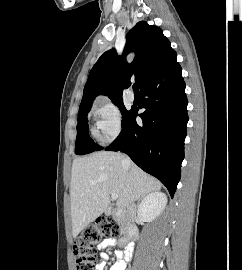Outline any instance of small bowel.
<instances>
[{
  "label": "small bowel",
  "mask_w": 242,
  "mask_h": 270,
  "mask_svg": "<svg viewBox=\"0 0 242 270\" xmlns=\"http://www.w3.org/2000/svg\"><path fill=\"white\" fill-rule=\"evenodd\" d=\"M116 242L113 239H107L102 242L101 247L113 246ZM116 262L113 264L110 270H125L128 261L127 255L122 250L115 252ZM108 257L105 253H100L99 263L96 266V270H104Z\"/></svg>",
  "instance_id": "obj_1"
}]
</instances>
